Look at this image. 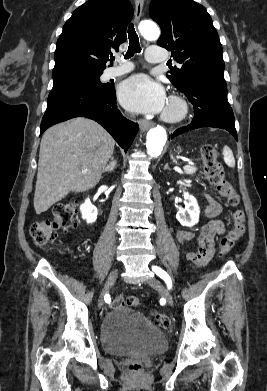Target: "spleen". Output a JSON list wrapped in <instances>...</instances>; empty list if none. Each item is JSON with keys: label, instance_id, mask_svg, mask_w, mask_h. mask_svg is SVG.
<instances>
[{"label": "spleen", "instance_id": "spleen-1", "mask_svg": "<svg viewBox=\"0 0 267 391\" xmlns=\"http://www.w3.org/2000/svg\"><path fill=\"white\" fill-rule=\"evenodd\" d=\"M222 154H223L225 163L229 167L234 168L235 167V159H234V155H233L232 150L228 146H224Z\"/></svg>", "mask_w": 267, "mask_h": 391}]
</instances>
